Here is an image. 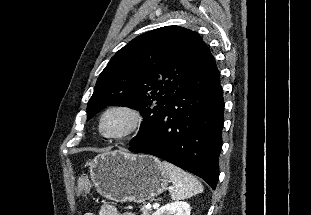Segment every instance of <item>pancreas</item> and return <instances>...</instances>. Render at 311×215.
I'll list each match as a JSON object with an SVG mask.
<instances>
[{"label": "pancreas", "mask_w": 311, "mask_h": 215, "mask_svg": "<svg viewBox=\"0 0 311 215\" xmlns=\"http://www.w3.org/2000/svg\"><path fill=\"white\" fill-rule=\"evenodd\" d=\"M140 211L142 212V215H150L152 213V209L145 206L141 207Z\"/></svg>", "instance_id": "1"}]
</instances>
